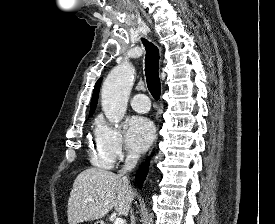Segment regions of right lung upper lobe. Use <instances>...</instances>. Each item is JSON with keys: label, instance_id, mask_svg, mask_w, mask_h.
Returning a JSON list of instances; mask_svg holds the SVG:
<instances>
[{"label": "right lung upper lobe", "instance_id": "1", "mask_svg": "<svg viewBox=\"0 0 275 224\" xmlns=\"http://www.w3.org/2000/svg\"><path fill=\"white\" fill-rule=\"evenodd\" d=\"M101 79H99L94 86L93 96L91 100V106H90V115L93 114L94 110L96 109L98 94H99V88H100Z\"/></svg>", "mask_w": 275, "mask_h": 224}]
</instances>
